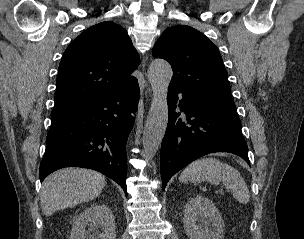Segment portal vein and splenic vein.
Instances as JSON below:
<instances>
[{
	"label": "portal vein and splenic vein",
	"mask_w": 304,
	"mask_h": 239,
	"mask_svg": "<svg viewBox=\"0 0 304 239\" xmlns=\"http://www.w3.org/2000/svg\"><path fill=\"white\" fill-rule=\"evenodd\" d=\"M218 192L220 193V192H222V190H218Z\"/></svg>",
	"instance_id": "18ae733b"
}]
</instances>
